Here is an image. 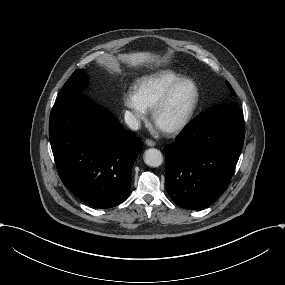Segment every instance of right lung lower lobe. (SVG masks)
<instances>
[{"instance_id":"98d812e1","label":"right lung lower lobe","mask_w":285,"mask_h":285,"mask_svg":"<svg viewBox=\"0 0 285 285\" xmlns=\"http://www.w3.org/2000/svg\"><path fill=\"white\" fill-rule=\"evenodd\" d=\"M58 174L67 189L95 208H111L129 195L131 170L142 142L84 94L58 98L49 119Z\"/></svg>"}]
</instances>
